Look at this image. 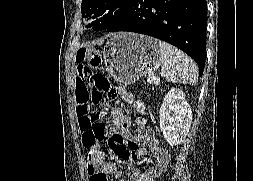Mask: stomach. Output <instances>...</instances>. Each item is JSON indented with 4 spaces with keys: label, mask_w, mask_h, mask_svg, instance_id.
<instances>
[{
    "label": "stomach",
    "mask_w": 253,
    "mask_h": 181,
    "mask_svg": "<svg viewBox=\"0 0 253 181\" xmlns=\"http://www.w3.org/2000/svg\"><path fill=\"white\" fill-rule=\"evenodd\" d=\"M159 42L153 37L129 32L114 35L102 48L107 72L125 85L153 74L161 65Z\"/></svg>",
    "instance_id": "stomach-1"
}]
</instances>
